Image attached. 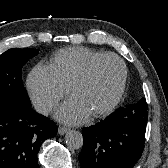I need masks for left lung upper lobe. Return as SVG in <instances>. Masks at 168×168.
Masks as SVG:
<instances>
[{
  "mask_svg": "<svg viewBox=\"0 0 168 168\" xmlns=\"http://www.w3.org/2000/svg\"><path fill=\"white\" fill-rule=\"evenodd\" d=\"M141 102H146V100L144 98H142L140 101H138L137 103H141Z\"/></svg>",
  "mask_w": 168,
  "mask_h": 168,
  "instance_id": "left-lung-upper-lobe-1",
  "label": "left lung upper lobe"
}]
</instances>
